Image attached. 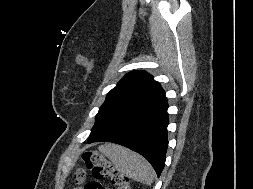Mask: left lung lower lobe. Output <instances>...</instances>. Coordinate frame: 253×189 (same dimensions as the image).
<instances>
[{"label": "left lung lower lobe", "mask_w": 253, "mask_h": 189, "mask_svg": "<svg viewBox=\"0 0 253 189\" xmlns=\"http://www.w3.org/2000/svg\"><path fill=\"white\" fill-rule=\"evenodd\" d=\"M168 104L165 97L113 130L89 136L88 143L108 141L126 146L144 156L160 176L168 147Z\"/></svg>", "instance_id": "obj_1"}]
</instances>
